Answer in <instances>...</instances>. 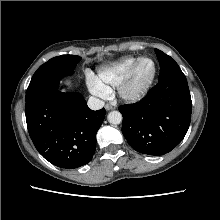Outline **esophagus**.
Segmentation results:
<instances>
[{"label": "esophagus", "mask_w": 220, "mask_h": 220, "mask_svg": "<svg viewBox=\"0 0 220 220\" xmlns=\"http://www.w3.org/2000/svg\"><path fill=\"white\" fill-rule=\"evenodd\" d=\"M105 109L109 111V110L115 109V107L112 106V105H110V104H106V105H105Z\"/></svg>", "instance_id": "esophagus-1"}]
</instances>
